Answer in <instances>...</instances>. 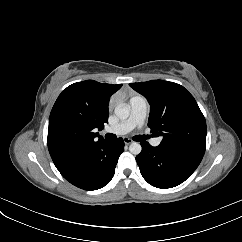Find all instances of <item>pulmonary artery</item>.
I'll return each instance as SVG.
<instances>
[{"mask_svg": "<svg viewBox=\"0 0 242 242\" xmlns=\"http://www.w3.org/2000/svg\"><path fill=\"white\" fill-rule=\"evenodd\" d=\"M130 116L126 121H123L112 127H108L104 130V133H110L114 135H125L137 126H140L147 112L146 100L144 97L138 95L134 96L129 101ZM161 143V138H152L151 144L158 146Z\"/></svg>", "mask_w": 242, "mask_h": 242, "instance_id": "1", "label": "pulmonary artery"}]
</instances>
